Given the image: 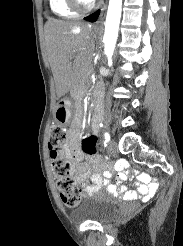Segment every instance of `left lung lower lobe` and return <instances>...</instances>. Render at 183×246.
Here are the masks:
<instances>
[{"label": "left lung lower lobe", "instance_id": "obj_1", "mask_svg": "<svg viewBox=\"0 0 183 246\" xmlns=\"http://www.w3.org/2000/svg\"><path fill=\"white\" fill-rule=\"evenodd\" d=\"M99 13H100V12L97 11V12H95V13H93V14L87 16V17H85L84 19L87 20V21L94 22V21L97 20V18H98V16H99Z\"/></svg>", "mask_w": 183, "mask_h": 246}]
</instances>
